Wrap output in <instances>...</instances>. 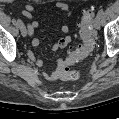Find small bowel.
Segmentation results:
<instances>
[{
	"label": "small bowel",
	"instance_id": "obj_1",
	"mask_svg": "<svg viewBox=\"0 0 119 119\" xmlns=\"http://www.w3.org/2000/svg\"><path fill=\"white\" fill-rule=\"evenodd\" d=\"M56 8L58 10H60L62 13H64L66 16H70L71 15V10L69 8V6L64 3V2H57L56 3ZM37 8L31 4H27L24 6L23 10H22V15L30 20H32L29 24H28V31H29V36L31 38V45L33 47H37L40 43L39 39L37 37L34 36V32L35 30L38 28L39 26V22L36 20H33V13L35 12ZM62 32L64 34H66V36H64L63 38L59 39L54 45H53V50H59V49H63L65 48L71 41V37L68 34L69 32V26L67 24L63 25L61 28ZM28 56L29 58L35 62V64L39 67H41L43 65V61L40 59H37L32 51H28ZM63 61L58 60L56 62V68L52 71L49 72H45L44 73V77L47 80H56L59 78V73H60V67Z\"/></svg>",
	"mask_w": 119,
	"mask_h": 119
}]
</instances>
